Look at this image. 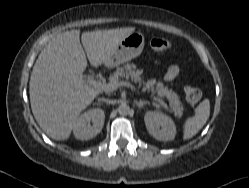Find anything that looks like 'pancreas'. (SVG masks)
<instances>
[{
    "mask_svg": "<svg viewBox=\"0 0 249 188\" xmlns=\"http://www.w3.org/2000/svg\"><path fill=\"white\" fill-rule=\"evenodd\" d=\"M142 73V70H136V66L134 64H126L123 67H118L116 71L112 75H110L108 80L109 83L113 84L119 83L122 78H131L134 82H137L139 86L144 85L145 90H150L152 92V97L155 100H158L159 96L167 97L174 115L177 117H181L183 114V107L177 93H175L168 86H164V83L161 81L157 82L155 79H151L147 82H144ZM155 94L157 95V97L154 96Z\"/></svg>",
    "mask_w": 249,
    "mask_h": 188,
    "instance_id": "obj_1",
    "label": "pancreas"
}]
</instances>
